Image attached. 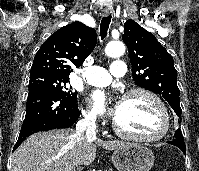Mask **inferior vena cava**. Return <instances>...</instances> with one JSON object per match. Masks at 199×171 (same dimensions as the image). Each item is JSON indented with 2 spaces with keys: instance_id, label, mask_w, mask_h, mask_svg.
<instances>
[{
  "instance_id": "602c4592",
  "label": "inferior vena cava",
  "mask_w": 199,
  "mask_h": 171,
  "mask_svg": "<svg viewBox=\"0 0 199 171\" xmlns=\"http://www.w3.org/2000/svg\"><path fill=\"white\" fill-rule=\"evenodd\" d=\"M76 136L82 139L93 140L96 138L95 118L85 116L76 124Z\"/></svg>"
}]
</instances>
